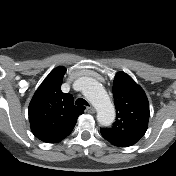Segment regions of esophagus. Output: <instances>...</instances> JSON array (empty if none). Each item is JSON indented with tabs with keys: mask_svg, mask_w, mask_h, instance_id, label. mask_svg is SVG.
<instances>
[{
	"mask_svg": "<svg viewBox=\"0 0 176 176\" xmlns=\"http://www.w3.org/2000/svg\"><path fill=\"white\" fill-rule=\"evenodd\" d=\"M87 111L89 113L93 114V113H95L96 110H95V108H93V107L90 106V107L87 108Z\"/></svg>",
	"mask_w": 176,
	"mask_h": 176,
	"instance_id": "1",
	"label": "esophagus"
}]
</instances>
